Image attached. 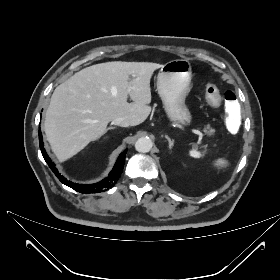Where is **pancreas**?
<instances>
[{"instance_id": "cf45deb5", "label": "pancreas", "mask_w": 280, "mask_h": 280, "mask_svg": "<svg viewBox=\"0 0 280 280\" xmlns=\"http://www.w3.org/2000/svg\"><path fill=\"white\" fill-rule=\"evenodd\" d=\"M204 131L207 132V133H212V132H214V130L211 129L210 126H207L206 129H205Z\"/></svg>"}]
</instances>
